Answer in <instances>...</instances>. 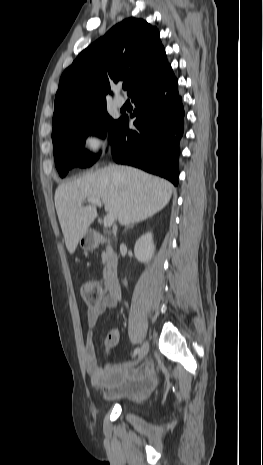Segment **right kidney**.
I'll list each match as a JSON object with an SVG mask.
<instances>
[{"label":"right kidney","mask_w":263,"mask_h":465,"mask_svg":"<svg viewBox=\"0 0 263 465\" xmlns=\"http://www.w3.org/2000/svg\"><path fill=\"white\" fill-rule=\"evenodd\" d=\"M155 251L151 233L142 235L135 243L134 254L138 261L148 263Z\"/></svg>","instance_id":"ca27d5eb"}]
</instances>
